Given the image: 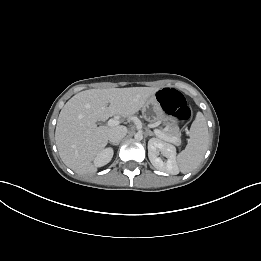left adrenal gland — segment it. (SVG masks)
Here are the masks:
<instances>
[{"label": "left adrenal gland", "instance_id": "1", "mask_svg": "<svg viewBox=\"0 0 261 261\" xmlns=\"http://www.w3.org/2000/svg\"><path fill=\"white\" fill-rule=\"evenodd\" d=\"M147 135L154 136V133L152 131H150V130H147Z\"/></svg>", "mask_w": 261, "mask_h": 261}]
</instances>
